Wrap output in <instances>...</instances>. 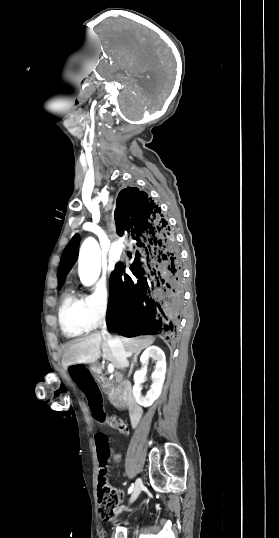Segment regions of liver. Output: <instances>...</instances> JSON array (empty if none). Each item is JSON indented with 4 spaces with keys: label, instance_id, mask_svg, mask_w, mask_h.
<instances>
[{
    "label": "liver",
    "instance_id": "1",
    "mask_svg": "<svg viewBox=\"0 0 279 538\" xmlns=\"http://www.w3.org/2000/svg\"><path fill=\"white\" fill-rule=\"evenodd\" d=\"M120 340L123 342L125 350H127L128 358H131L132 354H139L145 348H149L155 338L145 336V338H120ZM100 350H102V356L105 360L113 362L115 368H119L118 362L112 356L107 340H103L101 334H90L86 338L75 340L68 350L69 366H72V364H94L100 358ZM126 366H128V362Z\"/></svg>",
    "mask_w": 279,
    "mask_h": 538
}]
</instances>
